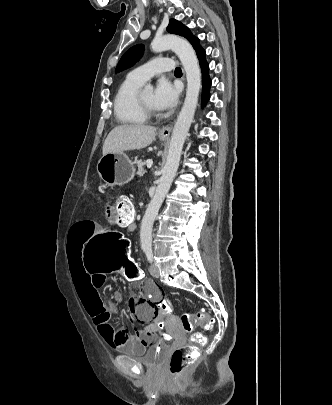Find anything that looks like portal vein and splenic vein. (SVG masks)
Here are the masks:
<instances>
[{"instance_id":"portal-vein-and-splenic-vein-1","label":"portal vein and splenic vein","mask_w":332,"mask_h":405,"mask_svg":"<svg viewBox=\"0 0 332 405\" xmlns=\"http://www.w3.org/2000/svg\"><path fill=\"white\" fill-rule=\"evenodd\" d=\"M152 164H153V161H152V160H148V161L146 162L147 167H151Z\"/></svg>"}]
</instances>
